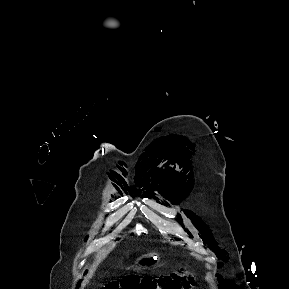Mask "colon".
Masks as SVG:
<instances>
[{
	"instance_id": "1",
	"label": "colon",
	"mask_w": 289,
	"mask_h": 289,
	"mask_svg": "<svg viewBox=\"0 0 289 289\" xmlns=\"http://www.w3.org/2000/svg\"><path fill=\"white\" fill-rule=\"evenodd\" d=\"M194 278L186 274L175 273L158 280L140 277H126L120 281L106 284L101 289H189Z\"/></svg>"
}]
</instances>
